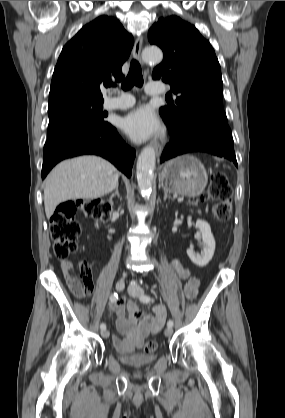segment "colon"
I'll list each match as a JSON object with an SVG mask.
<instances>
[{
    "label": "colon",
    "mask_w": 285,
    "mask_h": 418,
    "mask_svg": "<svg viewBox=\"0 0 285 418\" xmlns=\"http://www.w3.org/2000/svg\"><path fill=\"white\" fill-rule=\"evenodd\" d=\"M202 198L214 202L213 213L218 220L225 221L230 217L232 192L224 174L216 173L212 176L211 183ZM108 212V205L100 201H82L79 204L68 201L59 205L50 220L55 256L59 259H67L77 250V240L81 232V227L75 220L78 214L105 221L108 219ZM73 293L83 299L88 296L89 289L83 283L78 282ZM156 348L157 344L154 340H148L144 345L147 353L154 352Z\"/></svg>",
    "instance_id": "colon-1"
}]
</instances>
